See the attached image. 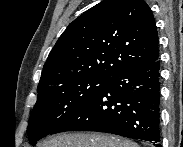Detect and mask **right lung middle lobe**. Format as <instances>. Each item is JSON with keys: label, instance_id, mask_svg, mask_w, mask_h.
Wrapping results in <instances>:
<instances>
[{"label": "right lung middle lobe", "instance_id": "obj_1", "mask_svg": "<svg viewBox=\"0 0 183 147\" xmlns=\"http://www.w3.org/2000/svg\"><path fill=\"white\" fill-rule=\"evenodd\" d=\"M108 81V78L85 77L38 89L37 102L27 128L30 143L34 145L51 134Z\"/></svg>", "mask_w": 183, "mask_h": 147}]
</instances>
